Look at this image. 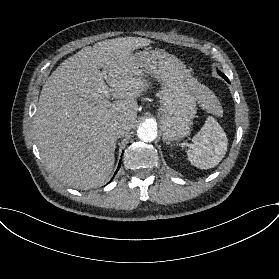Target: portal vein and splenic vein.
Returning <instances> with one entry per match:
<instances>
[{
	"mask_svg": "<svg viewBox=\"0 0 279 279\" xmlns=\"http://www.w3.org/2000/svg\"><path fill=\"white\" fill-rule=\"evenodd\" d=\"M104 88H105V90L108 89L106 84H104ZM108 94H109V91H107V95H108Z\"/></svg>",
	"mask_w": 279,
	"mask_h": 279,
	"instance_id": "18ae733b",
	"label": "portal vein and splenic vein"
}]
</instances>
